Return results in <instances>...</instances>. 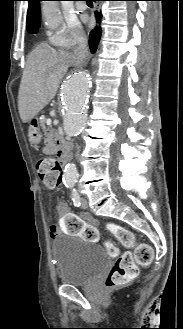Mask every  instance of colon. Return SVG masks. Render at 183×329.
Masks as SVG:
<instances>
[{
    "instance_id": "colon-1",
    "label": "colon",
    "mask_w": 183,
    "mask_h": 329,
    "mask_svg": "<svg viewBox=\"0 0 183 329\" xmlns=\"http://www.w3.org/2000/svg\"><path fill=\"white\" fill-rule=\"evenodd\" d=\"M37 171L42 183L51 191H58L62 185L63 170L60 162L53 157H44L37 163ZM81 220L78 217L74 219ZM110 231L116 239L126 247H135L134 252L120 255L106 278L107 288H117L133 280L138 274L137 265H149L152 261V249L149 245L135 244L134 235L127 229L118 225H110ZM105 247L112 256L118 254V248L111 242H106Z\"/></svg>"
}]
</instances>
